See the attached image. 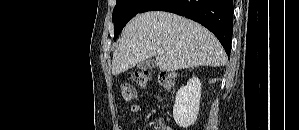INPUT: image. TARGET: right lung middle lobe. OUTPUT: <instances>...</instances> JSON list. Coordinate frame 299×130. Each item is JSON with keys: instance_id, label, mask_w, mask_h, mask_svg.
Instances as JSON below:
<instances>
[{"instance_id": "obj_1", "label": "right lung middle lobe", "mask_w": 299, "mask_h": 130, "mask_svg": "<svg viewBox=\"0 0 299 130\" xmlns=\"http://www.w3.org/2000/svg\"><path fill=\"white\" fill-rule=\"evenodd\" d=\"M148 0H116L112 20L115 25L114 40L118 37L124 26L133 18Z\"/></svg>"}]
</instances>
